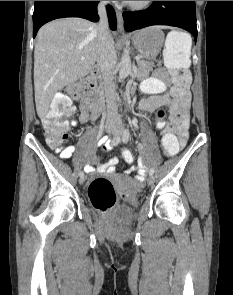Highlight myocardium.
Masks as SVG:
<instances>
[{
	"instance_id": "1",
	"label": "myocardium",
	"mask_w": 233,
	"mask_h": 295,
	"mask_svg": "<svg viewBox=\"0 0 233 295\" xmlns=\"http://www.w3.org/2000/svg\"><path fill=\"white\" fill-rule=\"evenodd\" d=\"M153 3V1H137V2H127V6L134 10V11H142L147 9L149 6H151V4Z\"/></svg>"
}]
</instances>
